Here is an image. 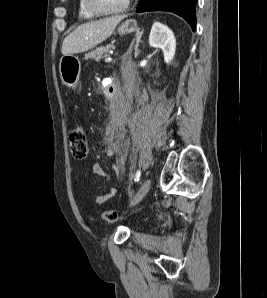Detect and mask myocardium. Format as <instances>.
<instances>
[{
	"instance_id": "1",
	"label": "myocardium",
	"mask_w": 267,
	"mask_h": 298,
	"mask_svg": "<svg viewBox=\"0 0 267 298\" xmlns=\"http://www.w3.org/2000/svg\"><path fill=\"white\" fill-rule=\"evenodd\" d=\"M130 3L131 0H126L120 8L114 11H106L97 5L96 0H85L86 8L96 16H113L122 14L128 9Z\"/></svg>"
}]
</instances>
